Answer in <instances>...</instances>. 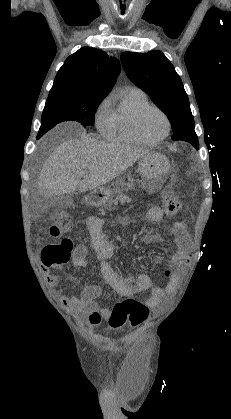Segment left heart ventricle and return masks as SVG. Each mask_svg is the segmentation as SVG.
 <instances>
[{
  "label": "left heart ventricle",
  "mask_w": 231,
  "mask_h": 419,
  "mask_svg": "<svg viewBox=\"0 0 231 419\" xmlns=\"http://www.w3.org/2000/svg\"><path fill=\"white\" fill-rule=\"evenodd\" d=\"M166 121L156 110L147 111L141 119V130L144 136L154 140L161 137L166 132Z\"/></svg>",
  "instance_id": "1"
}]
</instances>
